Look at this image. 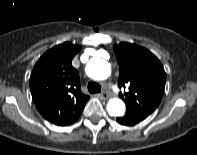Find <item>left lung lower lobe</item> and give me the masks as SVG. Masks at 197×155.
<instances>
[{
    "mask_svg": "<svg viewBox=\"0 0 197 155\" xmlns=\"http://www.w3.org/2000/svg\"><path fill=\"white\" fill-rule=\"evenodd\" d=\"M117 121H118V123H120L122 125H126V126H132V125H135L140 122L137 119H135L131 116H128V115H125L123 117H118Z\"/></svg>",
    "mask_w": 197,
    "mask_h": 155,
    "instance_id": "1",
    "label": "left lung lower lobe"
}]
</instances>
